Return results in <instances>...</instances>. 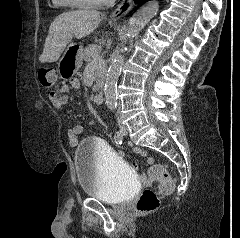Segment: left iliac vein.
I'll list each match as a JSON object with an SVG mask.
<instances>
[{"label": "left iliac vein", "mask_w": 240, "mask_h": 238, "mask_svg": "<svg viewBox=\"0 0 240 238\" xmlns=\"http://www.w3.org/2000/svg\"><path fill=\"white\" fill-rule=\"evenodd\" d=\"M121 131H122L123 135H126V134H127V128H126L125 125H122V126H121Z\"/></svg>", "instance_id": "1"}]
</instances>
